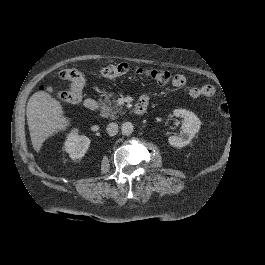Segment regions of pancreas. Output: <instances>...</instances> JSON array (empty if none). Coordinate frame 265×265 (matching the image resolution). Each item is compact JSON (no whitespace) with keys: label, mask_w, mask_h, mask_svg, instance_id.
Returning a JSON list of instances; mask_svg holds the SVG:
<instances>
[{"label":"pancreas","mask_w":265,"mask_h":265,"mask_svg":"<svg viewBox=\"0 0 265 265\" xmlns=\"http://www.w3.org/2000/svg\"><path fill=\"white\" fill-rule=\"evenodd\" d=\"M116 94L109 92L103 100L100 101L101 113L100 115L105 118L114 119L116 116L123 115L119 105L115 101Z\"/></svg>","instance_id":"cf45deb5"}]
</instances>
